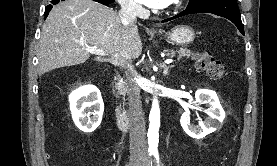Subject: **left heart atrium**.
Masks as SVG:
<instances>
[{
    "label": "left heart atrium",
    "instance_id": "left-heart-atrium-1",
    "mask_svg": "<svg viewBox=\"0 0 277 166\" xmlns=\"http://www.w3.org/2000/svg\"><path fill=\"white\" fill-rule=\"evenodd\" d=\"M137 1H139L140 3L148 7L157 8V9L165 8L171 2V0H137Z\"/></svg>",
    "mask_w": 277,
    "mask_h": 166
}]
</instances>
